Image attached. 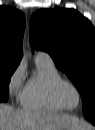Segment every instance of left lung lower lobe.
I'll return each mask as SVG.
<instances>
[{"instance_id": "obj_1", "label": "left lung lower lobe", "mask_w": 95, "mask_h": 130, "mask_svg": "<svg viewBox=\"0 0 95 130\" xmlns=\"http://www.w3.org/2000/svg\"><path fill=\"white\" fill-rule=\"evenodd\" d=\"M89 121H91L93 124H95V117L87 118Z\"/></svg>"}]
</instances>
